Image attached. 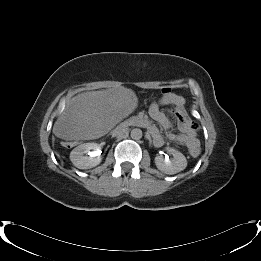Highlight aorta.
I'll return each instance as SVG.
<instances>
[{"label": "aorta", "instance_id": "aorta-1", "mask_svg": "<svg viewBox=\"0 0 261 261\" xmlns=\"http://www.w3.org/2000/svg\"><path fill=\"white\" fill-rule=\"evenodd\" d=\"M130 136L134 140H140L142 138V130L139 128H134L131 130Z\"/></svg>", "mask_w": 261, "mask_h": 261}]
</instances>
